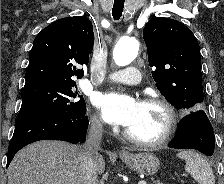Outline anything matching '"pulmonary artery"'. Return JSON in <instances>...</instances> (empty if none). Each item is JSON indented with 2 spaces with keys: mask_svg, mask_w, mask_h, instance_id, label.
I'll return each mask as SVG.
<instances>
[{
  "mask_svg": "<svg viewBox=\"0 0 224 184\" xmlns=\"http://www.w3.org/2000/svg\"><path fill=\"white\" fill-rule=\"evenodd\" d=\"M108 79L114 82L136 85L140 82V72L135 67H129L124 70H116L108 75Z\"/></svg>",
  "mask_w": 224,
  "mask_h": 184,
  "instance_id": "obj_1",
  "label": "pulmonary artery"
}]
</instances>
